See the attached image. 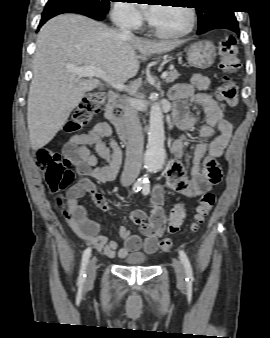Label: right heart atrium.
<instances>
[{"mask_svg": "<svg viewBox=\"0 0 270 338\" xmlns=\"http://www.w3.org/2000/svg\"><path fill=\"white\" fill-rule=\"evenodd\" d=\"M113 19L120 26L138 28L142 25V16L131 3L119 2L113 8Z\"/></svg>", "mask_w": 270, "mask_h": 338, "instance_id": "right-heart-atrium-1", "label": "right heart atrium"}]
</instances>
